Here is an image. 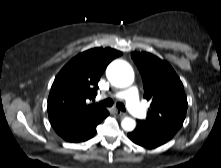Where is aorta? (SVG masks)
<instances>
[{
	"label": "aorta",
	"mask_w": 221,
	"mask_h": 168,
	"mask_svg": "<svg viewBox=\"0 0 221 168\" xmlns=\"http://www.w3.org/2000/svg\"><path fill=\"white\" fill-rule=\"evenodd\" d=\"M106 75L108 80L116 87L125 88L130 86L134 81V71L129 63L117 59L110 63ZM121 126L125 131H133L136 122L130 117H125L121 121Z\"/></svg>",
	"instance_id": "obj_1"
}]
</instances>
